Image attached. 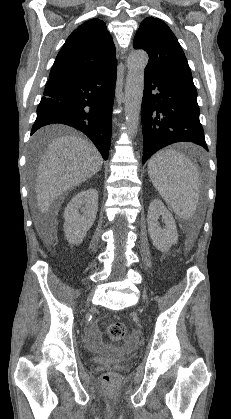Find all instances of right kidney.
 <instances>
[{"instance_id": "ca27d5eb", "label": "right kidney", "mask_w": 231, "mask_h": 419, "mask_svg": "<svg viewBox=\"0 0 231 419\" xmlns=\"http://www.w3.org/2000/svg\"><path fill=\"white\" fill-rule=\"evenodd\" d=\"M98 211V192L94 188L82 190L68 203L63 225L66 239L72 245L80 244L93 225Z\"/></svg>"}]
</instances>
